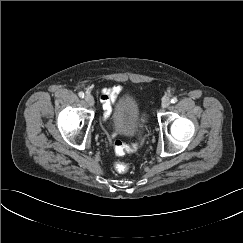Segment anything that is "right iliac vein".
<instances>
[{"label":"right iliac vein","instance_id":"obj_1","mask_svg":"<svg viewBox=\"0 0 243 243\" xmlns=\"http://www.w3.org/2000/svg\"><path fill=\"white\" fill-rule=\"evenodd\" d=\"M85 101L87 102L88 105L93 106L94 105V98L92 95L87 94L85 96Z\"/></svg>","mask_w":243,"mask_h":243}]
</instances>
